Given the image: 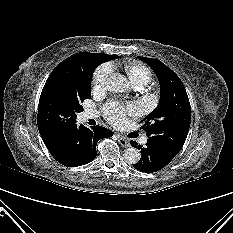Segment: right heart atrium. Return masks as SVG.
Listing matches in <instances>:
<instances>
[{
  "mask_svg": "<svg viewBox=\"0 0 233 233\" xmlns=\"http://www.w3.org/2000/svg\"><path fill=\"white\" fill-rule=\"evenodd\" d=\"M112 73V65L104 63L100 65L93 74V84L95 89L102 88Z\"/></svg>",
  "mask_w": 233,
  "mask_h": 233,
  "instance_id": "d8ad5b80",
  "label": "right heart atrium"
}]
</instances>
